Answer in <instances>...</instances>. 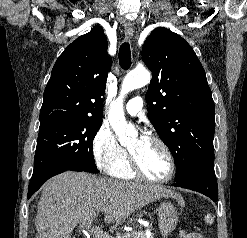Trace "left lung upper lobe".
Returning a JSON list of instances; mask_svg holds the SVG:
<instances>
[{"label": "left lung upper lobe", "mask_w": 247, "mask_h": 238, "mask_svg": "<svg viewBox=\"0 0 247 238\" xmlns=\"http://www.w3.org/2000/svg\"><path fill=\"white\" fill-rule=\"evenodd\" d=\"M142 58L153 73L148 118L174 157L176 181L195 166H213L215 107L194 50L178 34L158 27L146 39Z\"/></svg>", "instance_id": "1"}]
</instances>
